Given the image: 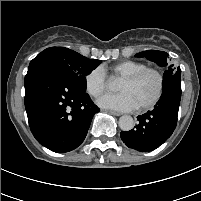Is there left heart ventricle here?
<instances>
[{"instance_id":"1","label":"left heart ventricle","mask_w":201,"mask_h":201,"mask_svg":"<svg viewBox=\"0 0 201 201\" xmlns=\"http://www.w3.org/2000/svg\"><path fill=\"white\" fill-rule=\"evenodd\" d=\"M118 90L128 93L137 106L150 101L157 90V78L152 73H147L135 82L121 80Z\"/></svg>"}]
</instances>
